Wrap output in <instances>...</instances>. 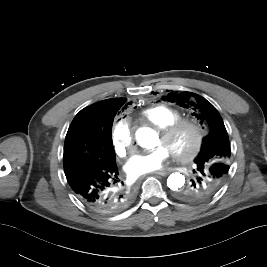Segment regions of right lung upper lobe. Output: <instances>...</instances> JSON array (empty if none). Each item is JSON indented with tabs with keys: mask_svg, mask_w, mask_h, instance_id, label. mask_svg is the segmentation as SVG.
<instances>
[{
	"mask_svg": "<svg viewBox=\"0 0 267 267\" xmlns=\"http://www.w3.org/2000/svg\"><path fill=\"white\" fill-rule=\"evenodd\" d=\"M125 98H113L94 103L82 109L73 119L71 125L86 127L94 137L104 138L111 131L112 126L105 120L108 112L113 108H121Z\"/></svg>",
	"mask_w": 267,
	"mask_h": 267,
	"instance_id": "1",
	"label": "right lung upper lobe"
}]
</instances>
